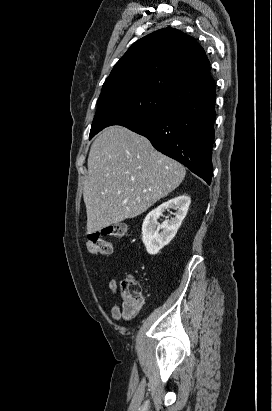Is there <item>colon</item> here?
<instances>
[{"label":"colon","mask_w":272,"mask_h":411,"mask_svg":"<svg viewBox=\"0 0 272 411\" xmlns=\"http://www.w3.org/2000/svg\"><path fill=\"white\" fill-rule=\"evenodd\" d=\"M127 232L124 222H115L103 227L100 231L92 232L87 237V248L91 253L109 255L113 252L112 243L108 238L122 237ZM122 313L126 319L133 318L140 309L142 289L132 276L124 278L120 284Z\"/></svg>","instance_id":"obj_1"}]
</instances>
